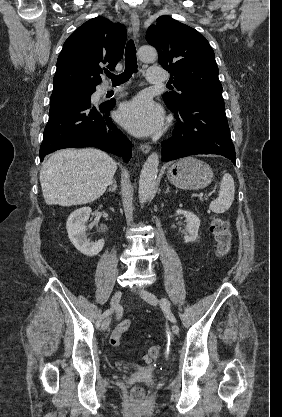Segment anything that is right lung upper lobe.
<instances>
[{
    "mask_svg": "<svg viewBox=\"0 0 282 417\" xmlns=\"http://www.w3.org/2000/svg\"><path fill=\"white\" fill-rule=\"evenodd\" d=\"M126 29L104 17L88 20L65 41L57 60L53 93L95 89L106 66L114 70L123 56Z\"/></svg>",
    "mask_w": 282,
    "mask_h": 417,
    "instance_id": "right-lung-upper-lobe-1",
    "label": "right lung upper lobe"
}]
</instances>
